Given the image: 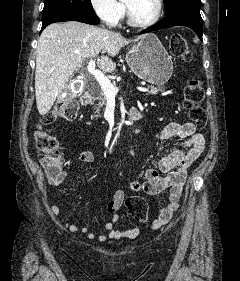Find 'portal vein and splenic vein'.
Here are the masks:
<instances>
[{
    "label": "portal vein and splenic vein",
    "instance_id": "obj_1",
    "mask_svg": "<svg viewBox=\"0 0 240 281\" xmlns=\"http://www.w3.org/2000/svg\"><path fill=\"white\" fill-rule=\"evenodd\" d=\"M87 69L88 72L97 80L107 98H114L117 95L119 88L114 87L111 81L100 70L95 68L94 60H90ZM137 89L141 92H147L149 90L145 87H138Z\"/></svg>",
    "mask_w": 240,
    "mask_h": 281
}]
</instances>
